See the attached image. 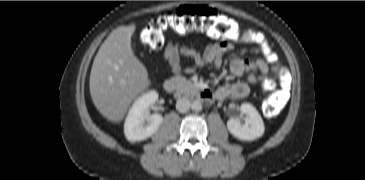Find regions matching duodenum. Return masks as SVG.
Here are the masks:
<instances>
[{"label": "duodenum", "mask_w": 365, "mask_h": 180, "mask_svg": "<svg viewBox=\"0 0 365 180\" xmlns=\"http://www.w3.org/2000/svg\"><path fill=\"white\" fill-rule=\"evenodd\" d=\"M176 81L167 79L163 82V88L166 92H173L176 88ZM196 95L198 99L204 103H209L213 100L214 95L212 91L206 88H196Z\"/></svg>", "instance_id": "1"}]
</instances>
